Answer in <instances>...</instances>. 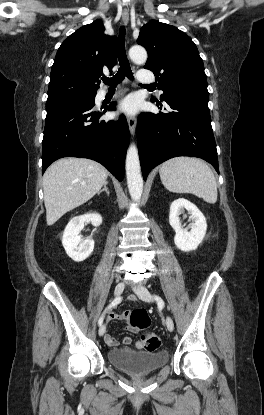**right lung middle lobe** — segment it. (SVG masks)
I'll return each mask as SVG.
<instances>
[{"instance_id":"1","label":"right lung middle lobe","mask_w":264,"mask_h":415,"mask_svg":"<svg viewBox=\"0 0 264 415\" xmlns=\"http://www.w3.org/2000/svg\"><path fill=\"white\" fill-rule=\"evenodd\" d=\"M95 95H65L57 98L47 99L46 107L66 103H93Z\"/></svg>"}]
</instances>
